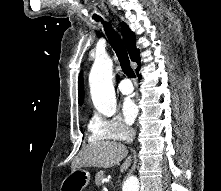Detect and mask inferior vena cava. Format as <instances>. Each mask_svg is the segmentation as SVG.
Here are the masks:
<instances>
[{"label":"inferior vena cava","mask_w":221,"mask_h":191,"mask_svg":"<svg viewBox=\"0 0 221 191\" xmlns=\"http://www.w3.org/2000/svg\"><path fill=\"white\" fill-rule=\"evenodd\" d=\"M136 131L133 128H128L126 131V141L131 144L135 138Z\"/></svg>","instance_id":"obj_1"}]
</instances>
